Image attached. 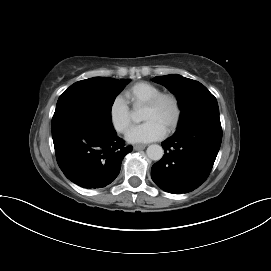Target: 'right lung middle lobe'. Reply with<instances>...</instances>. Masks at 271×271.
I'll list each match as a JSON object with an SVG mask.
<instances>
[{
	"label": "right lung middle lobe",
	"mask_w": 271,
	"mask_h": 271,
	"mask_svg": "<svg viewBox=\"0 0 271 271\" xmlns=\"http://www.w3.org/2000/svg\"><path fill=\"white\" fill-rule=\"evenodd\" d=\"M129 81L94 77L71 85L58 99L52 118V133L66 126L93 120L112 126V105Z\"/></svg>",
	"instance_id": "right-lung-middle-lobe-1"
}]
</instances>
